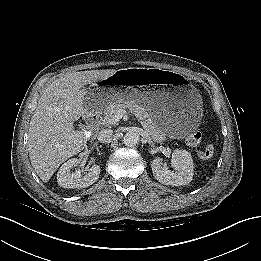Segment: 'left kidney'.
<instances>
[{
  "instance_id": "1",
  "label": "left kidney",
  "mask_w": 261,
  "mask_h": 261,
  "mask_svg": "<svg viewBox=\"0 0 261 261\" xmlns=\"http://www.w3.org/2000/svg\"><path fill=\"white\" fill-rule=\"evenodd\" d=\"M171 164L174 171L163 165L162 158L156 157L151 162V169L156 180L164 185L182 186L192 181L194 164L191 154L186 150H174Z\"/></svg>"
}]
</instances>
